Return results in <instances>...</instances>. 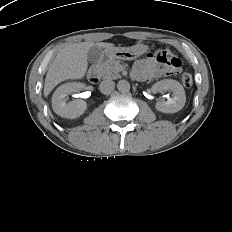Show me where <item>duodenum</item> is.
Wrapping results in <instances>:
<instances>
[{"label": "duodenum", "mask_w": 232, "mask_h": 232, "mask_svg": "<svg viewBox=\"0 0 232 232\" xmlns=\"http://www.w3.org/2000/svg\"><path fill=\"white\" fill-rule=\"evenodd\" d=\"M88 79L91 83H96L99 81L100 68L99 64H93L88 70Z\"/></svg>", "instance_id": "1"}]
</instances>
